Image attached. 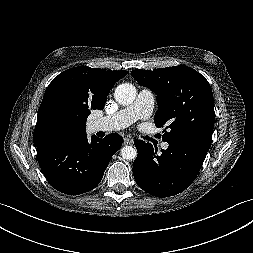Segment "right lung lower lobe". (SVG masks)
Segmentation results:
<instances>
[{"instance_id": "98d812e1", "label": "right lung lower lobe", "mask_w": 253, "mask_h": 253, "mask_svg": "<svg viewBox=\"0 0 253 253\" xmlns=\"http://www.w3.org/2000/svg\"><path fill=\"white\" fill-rule=\"evenodd\" d=\"M123 138L112 133L100 139L86 134L54 136L36 146L41 170L56 190L79 195L94 189L101 181L113 154Z\"/></svg>"}]
</instances>
